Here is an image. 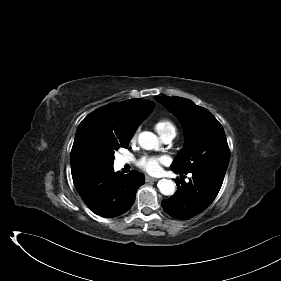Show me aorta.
I'll use <instances>...</instances> for the list:
<instances>
[{
	"label": "aorta",
	"mask_w": 281,
	"mask_h": 281,
	"mask_svg": "<svg viewBox=\"0 0 281 281\" xmlns=\"http://www.w3.org/2000/svg\"><path fill=\"white\" fill-rule=\"evenodd\" d=\"M138 143L143 149L152 150L159 145V140L152 132L144 131L139 134ZM157 186L159 191L166 196L173 195L176 190L175 183L169 179H161Z\"/></svg>",
	"instance_id": "aorta-1"
}]
</instances>
